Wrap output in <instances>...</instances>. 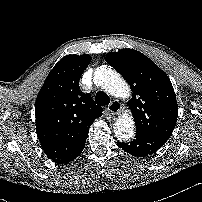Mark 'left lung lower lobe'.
Returning <instances> with one entry per match:
<instances>
[{"mask_svg":"<svg viewBox=\"0 0 202 202\" xmlns=\"http://www.w3.org/2000/svg\"><path fill=\"white\" fill-rule=\"evenodd\" d=\"M168 138L158 135L136 133L135 139L131 142H117V145L137 157H145L154 154L161 148Z\"/></svg>","mask_w":202,"mask_h":202,"instance_id":"obj_1","label":"left lung lower lobe"}]
</instances>
